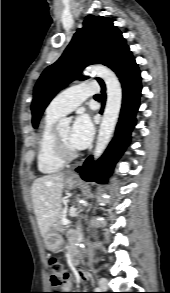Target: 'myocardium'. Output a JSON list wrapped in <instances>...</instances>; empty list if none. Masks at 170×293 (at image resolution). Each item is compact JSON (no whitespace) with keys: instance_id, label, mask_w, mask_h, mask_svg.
<instances>
[{"instance_id":"obj_1","label":"myocardium","mask_w":170,"mask_h":293,"mask_svg":"<svg viewBox=\"0 0 170 293\" xmlns=\"http://www.w3.org/2000/svg\"><path fill=\"white\" fill-rule=\"evenodd\" d=\"M52 147L54 154L57 158H59L62 161H71L75 159L78 156L77 151L74 150H68L63 143L61 142L57 130L53 131L52 135Z\"/></svg>"}]
</instances>
